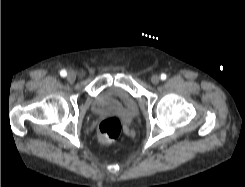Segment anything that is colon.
<instances>
[{"mask_svg": "<svg viewBox=\"0 0 245 187\" xmlns=\"http://www.w3.org/2000/svg\"><path fill=\"white\" fill-rule=\"evenodd\" d=\"M121 131L122 124L117 117H105L99 121L96 135L101 144H111L118 139Z\"/></svg>", "mask_w": 245, "mask_h": 187, "instance_id": "5ec220e1", "label": "colon"}]
</instances>
